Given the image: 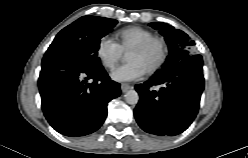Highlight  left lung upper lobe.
<instances>
[{"instance_id":"1","label":"left lung upper lobe","mask_w":248,"mask_h":158,"mask_svg":"<svg viewBox=\"0 0 248 158\" xmlns=\"http://www.w3.org/2000/svg\"><path fill=\"white\" fill-rule=\"evenodd\" d=\"M149 25L156 30H159L164 36L170 53L166 62L163 64L162 69L158 70L155 75H160L163 72L168 71L179 61L191 56L188 49L194 45V41H192L186 33L181 30H175L172 26L162 22H154Z\"/></svg>"}]
</instances>
